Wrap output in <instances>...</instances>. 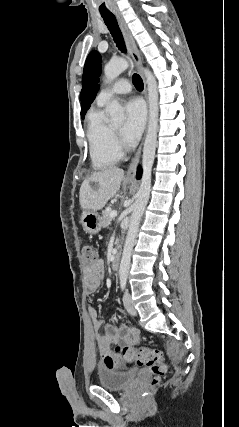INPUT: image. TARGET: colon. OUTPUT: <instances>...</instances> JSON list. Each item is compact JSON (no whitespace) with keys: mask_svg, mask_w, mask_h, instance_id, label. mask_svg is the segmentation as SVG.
I'll list each match as a JSON object with an SVG mask.
<instances>
[{"mask_svg":"<svg viewBox=\"0 0 239 427\" xmlns=\"http://www.w3.org/2000/svg\"><path fill=\"white\" fill-rule=\"evenodd\" d=\"M81 251L82 260L85 266H90L95 263L97 260V253L91 243H84ZM120 354L129 363H136L139 366L149 368L153 375L149 388V393H151L166 372V366L162 362L160 351L149 347H122L120 349Z\"/></svg>","mask_w":239,"mask_h":427,"instance_id":"colon-1","label":"colon"}]
</instances>
